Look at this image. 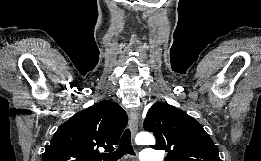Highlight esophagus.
I'll return each mask as SVG.
<instances>
[{
	"mask_svg": "<svg viewBox=\"0 0 261 161\" xmlns=\"http://www.w3.org/2000/svg\"><path fill=\"white\" fill-rule=\"evenodd\" d=\"M129 119H130V129L132 136L134 137L138 131L139 127V115L137 113V110L135 108H132L129 111Z\"/></svg>",
	"mask_w": 261,
	"mask_h": 161,
	"instance_id": "34e87169",
	"label": "esophagus"
}]
</instances>
